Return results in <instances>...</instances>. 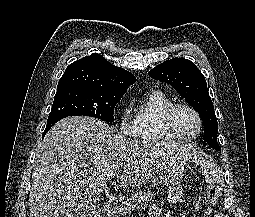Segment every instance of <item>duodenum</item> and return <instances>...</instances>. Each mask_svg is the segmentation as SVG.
<instances>
[{"mask_svg":"<svg viewBox=\"0 0 255 217\" xmlns=\"http://www.w3.org/2000/svg\"><path fill=\"white\" fill-rule=\"evenodd\" d=\"M109 216V207L102 206L94 213V217H108Z\"/></svg>","mask_w":255,"mask_h":217,"instance_id":"1","label":"duodenum"}]
</instances>
